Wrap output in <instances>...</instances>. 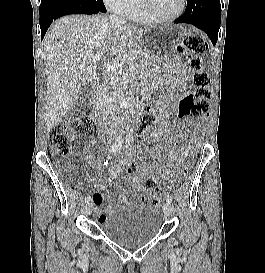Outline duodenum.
Wrapping results in <instances>:
<instances>
[{"label": "duodenum", "mask_w": 265, "mask_h": 273, "mask_svg": "<svg viewBox=\"0 0 265 273\" xmlns=\"http://www.w3.org/2000/svg\"><path fill=\"white\" fill-rule=\"evenodd\" d=\"M99 89H100V87H98V89L96 90V94H95L94 99H93L94 103H96L98 101V99H99V96H98Z\"/></svg>", "instance_id": "duodenum-1"}]
</instances>
